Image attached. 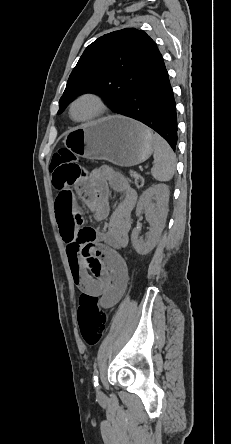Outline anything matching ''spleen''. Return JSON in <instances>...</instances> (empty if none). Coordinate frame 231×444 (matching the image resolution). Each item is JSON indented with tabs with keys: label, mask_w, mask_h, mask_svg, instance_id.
<instances>
[{
	"label": "spleen",
	"mask_w": 231,
	"mask_h": 444,
	"mask_svg": "<svg viewBox=\"0 0 231 444\" xmlns=\"http://www.w3.org/2000/svg\"><path fill=\"white\" fill-rule=\"evenodd\" d=\"M154 138V161L152 176L158 181H169L175 172L176 156L169 144L158 134Z\"/></svg>",
	"instance_id": "1"
}]
</instances>
